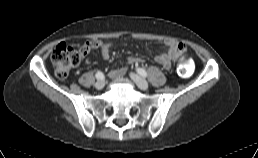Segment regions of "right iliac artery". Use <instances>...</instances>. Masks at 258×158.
I'll list each match as a JSON object with an SVG mask.
<instances>
[{"mask_svg": "<svg viewBox=\"0 0 258 158\" xmlns=\"http://www.w3.org/2000/svg\"><path fill=\"white\" fill-rule=\"evenodd\" d=\"M95 77L98 79V80H102L104 78V74L100 71H98L95 75Z\"/></svg>", "mask_w": 258, "mask_h": 158, "instance_id": "82829eb1", "label": "right iliac artery"}]
</instances>
